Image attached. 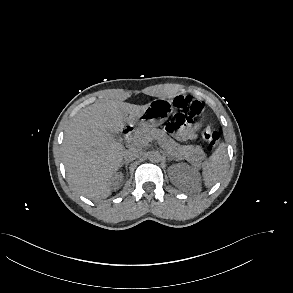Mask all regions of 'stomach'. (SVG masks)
I'll list each match as a JSON object with an SVG mask.
<instances>
[{
	"instance_id": "0dacf381",
	"label": "stomach",
	"mask_w": 293,
	"mask_h": 293,
	"mask_svg": "<svg viewBox=\"0 0 293 293\" xmlns=\"http://www.w3.org/2000/svg\"><path fill=\"white\" fill-rule=\"evenodd\" d=\"M172 111L171 100L158 98L150 102L145 111L135 121L143 127H157L167 120Z\"/></svg>"
}]
</instances>
